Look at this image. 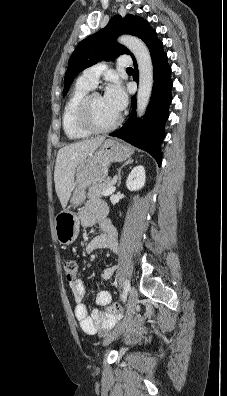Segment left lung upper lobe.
I'll return each mask as SVG.
<instances>
[{
    "mask_svg": "<svg viewBox=\"0 0 227 396\" xmlns=\"http://www.w3.org/2000/svg\"><path fill=\"white\" fill-rule=\"evenodd\" d=\"M121 34H131L141 38L147 45L157 38L156 31L139 16L131 14L122 18L112 17L108 25L97 33L81 41L73 52L65 74L64 92L66 95L74 78L85 68L101 60H111L130 51L115 39ZM132 58L134 57L131 54Z\"/></svg>",
    "mask_w": 227,
    "mask_h": 396,
    "instance_id": "left-lung-upper-lobe-1",
    "label": "left lung upper lobe"
}]
</instances>
